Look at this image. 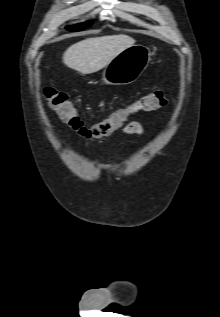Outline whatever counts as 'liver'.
Wrapping results in <instances>:
<instances>
[{
	"label": "liver",
	"mask_w": 220,
	"mask_h": 317,
	"mask_svg": "<svg viewBox=\"0 0 220 317\" xmlns=\"http://www.w3.org/2000/svg\"><path fill=\"white\" fill-rule=\"evenodd\" d=\"M135 44L127 35L88 38L71 45L63 54V63L82 74L103 69L119 53Z\"/></svg>",
	"instance_id": "obj_1"
}]
</instances>
